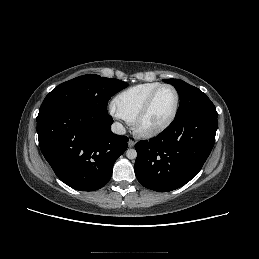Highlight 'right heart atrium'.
Segmentation results:
<instances>
[{
	"instance_id": "right-heart-atrium-1",
	"label": "right heart atrium",
	"mask_w": 259,
	"mask_h": 259,
	"mask_svg": "<svg viewBox=\"0 0 259 259\" xmlns=\"http://www.w3.org/2000/svg\"><path fill=\"white\" fill-rule=\"evenodd\" d=\"M111 115L115 118V119H120V120H124L121 115L114 109H111Z\"/></svg>"
}]
</instances>
